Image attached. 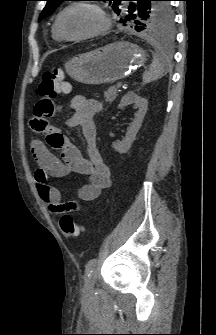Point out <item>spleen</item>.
Masks as SVG:
<instances>
[{"label":"spleen","mask_w":216,"mask_h":335,"mask_svg":"<svg viewBox=\"0 0 216 335\" xmlns=\"http://www.w3.org/2000/svg\"><path fill=\"white\" fill-rule=\"evenodd\" d=\"M152 45L155 48L153 53V61L150 69L143 74V82L150 83L164 76L170 69L171 64L160 46L154 42Z\"/></svg>","instance_id":"3e777b00"}]
</instances>
